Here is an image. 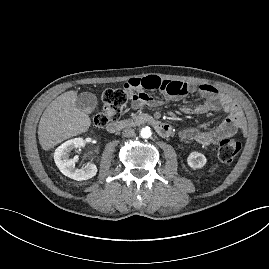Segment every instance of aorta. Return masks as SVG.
Masks as SVG:
<instances>
[{"mask_svg": "<svg viewBox=\"0 0 269 269\" xmlns=\"http://www.w3.org/2000/svg\"><path fill=\"white\" fill-rule=\"evenodd\" d=\"M140 135L142 138H149L152 135L151 129L149 127H144L140 131Z\"/></svg>", "mask_w": 269, "mask_h": 269, "instance_id": "obj_1", "label": "aorta"}]
</instances>
